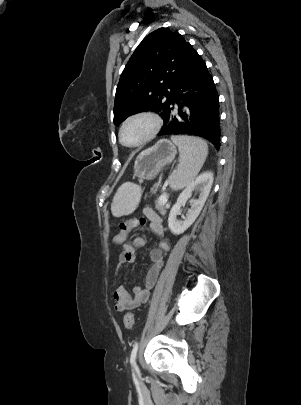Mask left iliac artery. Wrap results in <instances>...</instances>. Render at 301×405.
Returning a JSON list of instances; mask_svg holds the SVG:
<instances>
[{"mask_svg": "<svg viewBox=\"0 0 301 405\" xmlns=\"http://www.w3.org/2000/svg\"><path fill=\"white\" fill-rule=\"evenodd\" d=\"M137 350H138V343H135L133 346V349L131 351V357H130V363L132 366H134L137 369L136 366V355H137Z\"/></svg>", "mask_w": 301, "mask_h": 405, "instance_id": "obj_1", "label": "left iliac artery"}]
</instances>
